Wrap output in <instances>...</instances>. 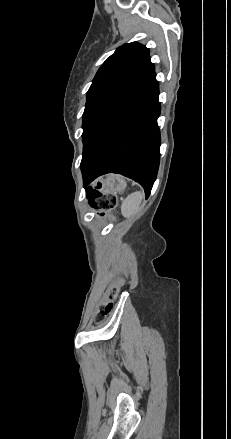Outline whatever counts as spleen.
Masks as SVG:
<instances>
[{
	"instance_id": "spleen-1",
	"label": "spleen",
	"mask_w": 231,
	"mask_h": 439,
	"mask_svg": "<svg viewBox=\"0 0 231 439\" xmlns=\"http://www.w3.org/2000/svg\"><path fill=\"white\" fill-rule=\"evenodd\" d=\"M143 192H134L127 196L122 202L121 212L125 218H130L139 210L141 201L143 199Z\"/></svg>"
}]
</instances>
